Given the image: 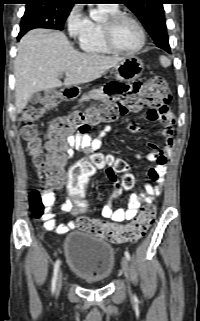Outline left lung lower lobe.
<instances>
[{
    "label": "left lung lower lobe",
    "instance_id": "left-lung-lower-lobe-1",
    "mask_svg": "<svg viewBox=\"0 0 200 321\" xmlns=\"http://www.w3.org/2000/svg\"><path fill=\"white\" fill-rule=\"evenodd\" d=\"M165 51H167V52H169V53H170V47H169V48H167V50H165Z\"/></svg>",
    "mask_w": 200,
    "mask_h": 321
}]
</instances>
